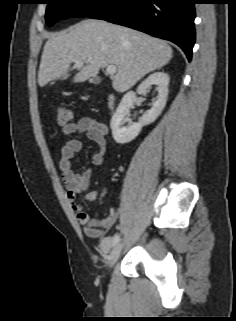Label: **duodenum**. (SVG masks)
<instances>
[{"label": "duodenum", "mask_w": 236, "mask_h": 321, "mask_svg": "<svg viewBox=\"0 0 236 321\" xmlns=\"http://www.w3.org/2000/svg\"><path fill=\"white\" fill-rule=\"evenodd\" d=\"M108 105H109V108H110L111 110H113V109L115 108L116 100H115L114 95H109V96H108Z\"/></svg>", "instance_id": "410a0bca"}]
</instances>
